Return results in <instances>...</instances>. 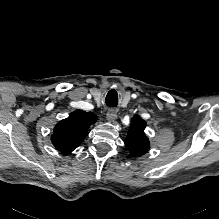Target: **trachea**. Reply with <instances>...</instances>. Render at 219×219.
Wrapping results in <instances>:
<instances>
[{
    "instance_id": "1",
    "label": "trachea",
    "mask_w": 219,
    "mask_h": 219,
    "mask_svg": "<svg viewBox=\"0 0 219 219\" xmlns=\"http://www.w3.org/2000/svg\"><path fill=\"white\" fill-rule=\"evenodd\" d=\"M105 103L107 106L116 107L118 104V95L115 90H110L106 96Z\"/></svg>"
}]
</instances>
